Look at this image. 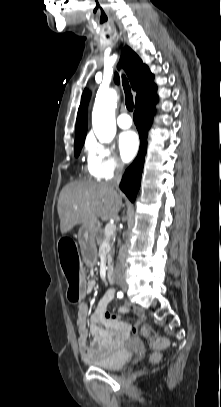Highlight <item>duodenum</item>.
<instances>
[{"instance_id": "duodenum-1", "label": "duodenum", "mask_w": 221, "mask_h": 407, "mask_svg": "<svg viewBox=\"0 0 221 407\" xmlns=\"http://www.w3.org/2000/svg\"><path fill=\"white\" fill-rule=\"evenodd\" d=\"M107 279L109 282L113 283L115 278H114V271L111 266L107 268Z\"/></svg>"}]
</instances>
